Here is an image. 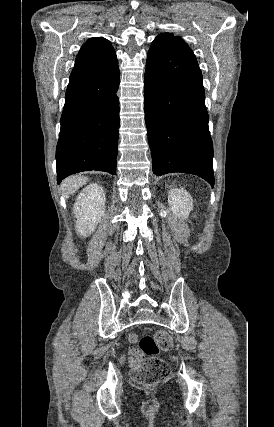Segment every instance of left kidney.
I'll return each mask as SVG.
<instances>
[{
  "label": "left kidney",
  "mask_w": 274,
  "mask_h": 427,
  "mask_svg": "<svg viewBox=\"0 0 274 427\" xmlns=\"http://www.w3.org/2000/svg\"><path fill=\"white\" fill-rule=\"evenodd\" d=\"M168 204L170 206V212L180 217V219H186L193 210V200L189 192L184 190V188L171 190L168 196Z\"/></svg>",
  "instance_id": "1"
}]
</instances>
